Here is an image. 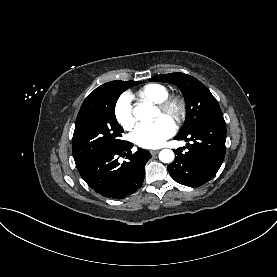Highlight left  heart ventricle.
<instances>
[{"label": "left heart ventricle", "mask_w": 277, "mask_h": 277, "mask_svg": "<svg viewBox=\"0 0 277 277\" xmlns=\"http://www.w3.org/2000/svg\"><path fill=\"white\" fill-rule=\"evenodd\" d=\"M157 117H163L159 111L157 112Z\"/></svg>", "instance_id": "obj_1"}]
</instances>
